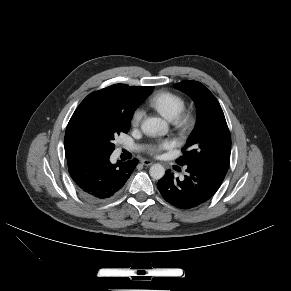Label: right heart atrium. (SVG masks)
Listing matches in <instances>:
<instances>
[{"mask_svg":"<svg viewBox=\"0 0 291 291\" xmlns=\"http://www.w3.org/2000/svg\"><path fill=\"white\" fill-rule=\"evenodd\" d=\"M143 115H144L143 110L140 108H137L132 114L131 124L133 126H137L141 122Z\"/></svg>","mask_w":291,"mask_h":291,"instance_id":"right-heart-atrium-1","label":"right heart atrium"}]
</instances>
